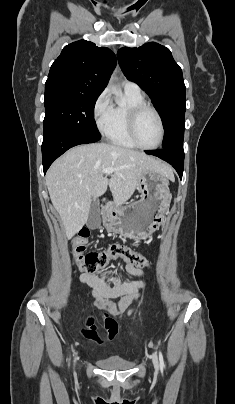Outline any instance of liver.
Returning a JSON list of instances; mask_svg holds the SVG:
<instances>
[{
  "label": "liver",
  "instance_id": "1",
  "mask_svg": "<svg viewBox=\"0 0 235 404\" xmlns=\"http://www.w3.org/2000/svg\"><path fill=\"white\" fill-rule=\"evenodd\" d=\"M113 168L108 179L102 173ZM159 172L173 179L170 166L142 152L93 143L71 148L58 158L46 174V185L68 238L88 220L92 199L102 196L109 185L115 207H121L134 193L143 174Z\"/></svg>",
  "mask_w": 235,
  "mask_h": 404
}]
</instances>
